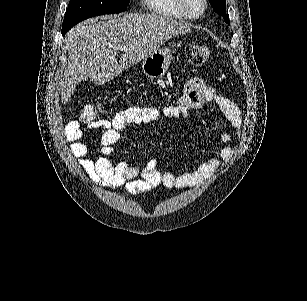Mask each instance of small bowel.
Masks as SVG:
<instances>
[{"label":"small bowel","mask_w":307,"mask_h":301,"mask_svg":"<svg viewBox=\"0 0 307 301\" xmlns=\"http://www.w3.org/2000/svg\"><path fill=\"white\" fill-rule=\"evenodd\" d=\"M213 102L225 119L237 131L242 124L241 110L230 98L207 86L200 78L189 79L184 92L174 105L163 109L154 107L130 106L122 109L111 120H100L89 127L102 128L100 139L102 156L93 158L84 142V130L78 121H70L65 126V137L70 141L72 154L78 159L80 166L89 179L97 186L105 189L123 187L132 195L151 191L162 185L166 188L181 189L196 186L207 181L215 171L233 156L236 146L232 134L220 129L218 137L222 147L195 171L175 175L157 168L154 162L142 167L131 166L125 162L115 163L110 157L119 141L120 133L128 126L147 124L161 116L167 118L186 117L191 110L201 109L206 103Z\"/></svg>","instance_id":"c3829d8e"}]
</instances>
